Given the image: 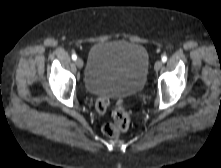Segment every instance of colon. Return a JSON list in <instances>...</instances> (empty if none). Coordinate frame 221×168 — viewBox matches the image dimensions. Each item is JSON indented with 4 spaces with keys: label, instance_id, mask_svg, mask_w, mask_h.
<instances>
[{
    "label": "colon",
    "instance_id": "1",
    "mask_svg": "<svg viewBox=\"0 0 221 168\" xmlns=\"http://www.w3.org/2000/svg\"><path fill=\"white\" fill-rule=\"evenodd\" d=\"M109 101L105 97H100L96 101V109L99 113H104L107 109ZM113 122L106 123L103 126V132L109 137L118 136L125 131L129 125L131 114L122 101L115 106L113 113Z\"/></svg>",
    "mask_w": 221,
    "mask_h": 168
}]
</instances>
